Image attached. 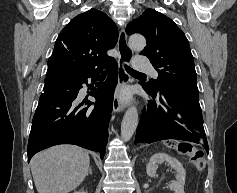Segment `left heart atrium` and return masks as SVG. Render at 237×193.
Here are the masks:
<instances>
[{
  "label": "left heart atrium",
  "instance_id": "obj_1",
  "mask_svg": "<svg viewBox=\"0 0 237 193\" xmlns=\"http://www.w3.org/2000/svg\"><path fill=\"white\" fill-rule=\"evenodd\" d=\"M128 95H129L128 91H122L120 93V97L123 98V99H126L128 97Z\"/></svg>",
  "mask_w": 237,
  "mask_h": 193
}]
</instances>
